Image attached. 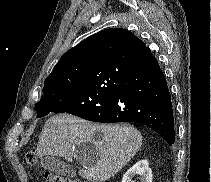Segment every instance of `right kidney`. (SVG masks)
<instances>
[{"instance_id": "ca27d5eb", "label": "right kidney", "mask_w": 211, "mask_h": 182, "mask_svg": "<svg viewBox=\"0 0 211 182\" xmlns=\"http://www.w3.org/2000/svg\"><path fill=\"white\" fill-rule=\"evenodd\" d=\"M140 176L141 182H152V171L149 168V162L144 159L135 163L123 176L122 182L132 181L134 176Z\"/></svg>"}]
</instances>
